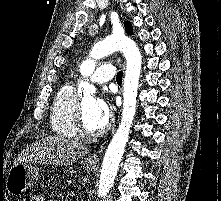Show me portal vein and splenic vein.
<instances>
[{"label": "portal vein and splenic vein", "instance_id": "portal-vein-and-splenic-vein-1", "mask_svg": "<svg viewBox=\"0 0 221 201\" xmlns=\"http://www.w3.org/2000/svg\"><path fill=\"white\" fill-rule=\"evenodd\" d=\"M68 195L71 196V197L75 196L74 192H69Z\"/></svg>", "mask_w": 221, "mask_h": 201}]
</instances>
